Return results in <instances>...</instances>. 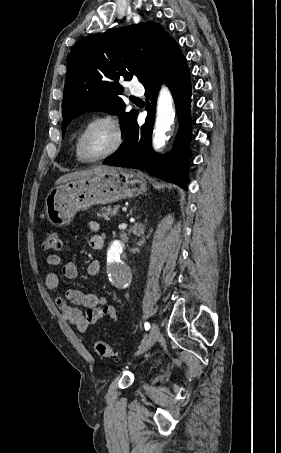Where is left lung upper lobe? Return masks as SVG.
Instances as JSON below:
<instances>
[{
  "mask_svg": "<svg viewBox=\"0 0 281 453\" xmlns=\"http://www.w3.org/2000/svg\"><path fill=\"white\" fill-rule=\"evenodd\" d=\"M172 39L160 24L142 22L79 40L67 62L62 136L73 118L88 111H104L120 116L126 138L137 112L123 113V88L117 81L136 76L143 82Z\"/></svg>",
  "mask_w": 281,
  "mask_h": 453,
  "instance_id": "left-lung-upper-lobe-1",
  "label": "left lung upper lobe"
}]
</instances>
